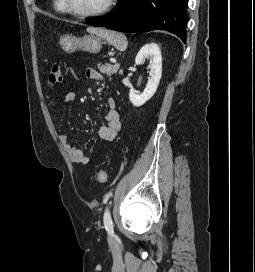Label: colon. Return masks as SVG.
I'll return each instance as SVG.
<instances>
[{
  "label": "colon",
  "instance_id": "5ec220e1",
  "mask_svg": "<svg viewBox=\"0 0 255 272\" xmlns=\"http://www.w3.org/2000/svg\"><path fill=\"white\" fill-rule=\"evenodd\" d=\"M62 82V73H61V65L59 63H54L50 67V71L47 78V83L49 86L54 87ZM99 183H105L108 179V174L105 170H100L97 173L96 177Z\"/></svg>",
  "mask_w": 255,
  "mask_h": 272
}]
</instances>
